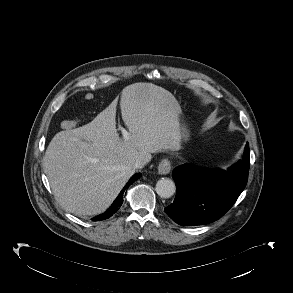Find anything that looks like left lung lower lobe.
<instances>
[{
    "label": "left lung lower lobe",
    "instance_id": "obj_1",
    "mask_svg": "<svg viewBox=\"0 0 293 293\" xmlns=\"http://www.w3.org/2000/svg\"><path fill=\"white\" fill-rule=\"evenodd\" d=\"M249 144L244 157L227 171L207 170L189 164L173 170L176 197L165 208L167 215L183 226L203 225L219 219L244 190L249 173Z\"/></svg>",
    "mask_w": 293,
    "mask_h": 293
}]
</instances>
